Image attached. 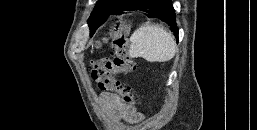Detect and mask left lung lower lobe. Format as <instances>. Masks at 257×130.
Listing matches in <instances>:
<instances>
[{"label": "left lung lower lobe", "instance_id": "1", "mask_svg": "<svg viewBox=\"0 0 257 130\" xmlns=\"http://www.w3.org/2000/svg\"><path fill=\"white\" fill-rule=\"evenodd\" d=\"M143 11L149 18H158L170 25L178 39V28L175 20V10L169 0H128L112 14H121L123 11Z\"/></svg>", "mask_w": 257, "mask_h": 130}]
</instances>
